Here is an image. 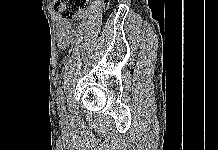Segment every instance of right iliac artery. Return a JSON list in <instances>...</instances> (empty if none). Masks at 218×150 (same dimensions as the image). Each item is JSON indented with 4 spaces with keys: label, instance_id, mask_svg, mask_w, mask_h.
<instances>
[{
    "label": "right iliac artery",
    "instance_id": "obj_1",
    "mask_svg": "<svg viewBox=\"0 0 218 150\" xmlns=\"http://www.w3.org/2000/svg\"><path fill=\"white\" fill-rule=\"evenodd\" d=\"M57 106H58V110L60 112V115L62 116L65 112V108H64V105H63V91H62V88L59 87L57 89Z\"/></svg>",
    "mask_w": 218,
    "mask_h": 150
}]
</instances>
